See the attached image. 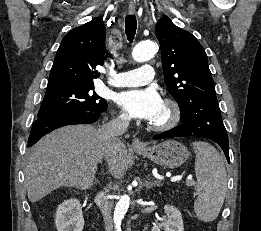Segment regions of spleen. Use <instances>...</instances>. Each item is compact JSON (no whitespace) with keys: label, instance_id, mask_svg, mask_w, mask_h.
<instances>
[{"label":"spleen","instance_id":"3e777b00","mask_svg":"<svg viewBox=\"0 0 261 231\" xmlns=\"http://www.w3.org/2000/svg\"><path fill=\"white\" fill-rule=\"evenodd\" d=\"M198 198L194 203L197 217L204 222L215 220L224 202L227 174L223 158L209 143L193 142Z\"/></svg>","mask_w":261,"mask_h":231}]
</instances>
